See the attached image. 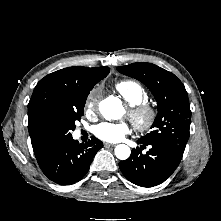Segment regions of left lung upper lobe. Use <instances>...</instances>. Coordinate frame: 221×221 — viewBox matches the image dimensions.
Segmentation results:
<instances>
[{
  "mask_svg": "<svg viewBox=\"0 0 221 221\" xmlns=\"http://www.w3.org/2000/svg\"><path fill=\"white\" fill-rule=\"evenodd\" d=\"M117 70L146 85L158 104V114L151 127L153 130L140 140L184 152L190 135L191 111L182 82L173 73L146 62L120 66Z\"/></svg>",
  "mask_w": 221,
  "mask_h": 221,
  "instance_id": "1",
  "label": "left lung upper lobe"
}]
</instances>
